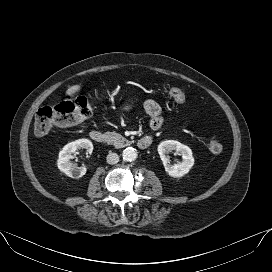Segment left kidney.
I'll return each instance as SVG.
<instances>
[{
    "mask_svg": "<svg viewBox=\"0 0 272 272\" xmlns=\"http://www.w3.org/2000/svg\"><path fill=\"white\" fill-rule=\"evenodd\" d=\"M158 153L165 167V171L174 178H179L186 175L192 166L194 165V158L192 156V150L184 144H181L176 140H166L158 145ZM176 150L183 160L177 164L171 165L169 162V156L167 153Z\"/></svg>",
    "mask_w": 272,
    "mask_h": 272,
    "instance_id": "5707ae66",
    "label": "left kidney"
}]
</instances>
